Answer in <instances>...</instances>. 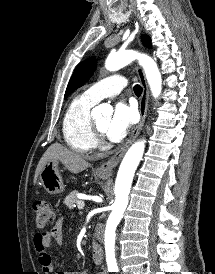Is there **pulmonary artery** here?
Masks as SVG:
<instances>
[{
  "label": "pulmonary artery",
  "mask_w": 215,
  "mask_h": 274,
  "mask_svg": "<svg viewBox=\"0 0 215 274\" xmlns=\"http://www.w3.org/2000/svg\"><path fill=\"white\" fill-rule=\"evenodd\" d=\"M127 85V80L121 75L107 77L88 88L84 94L94 102L119 94Z\"/></svg>",
  "instance_id": "1"
}]
</instances>
